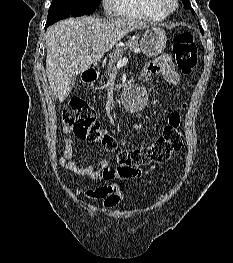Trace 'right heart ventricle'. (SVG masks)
I'll use <instances>...</instances> for the list:
<instances>
[{"mask_svg":"<svg viewBox=\"0 0 233 263\" xmlns=\"http://www.w3.org/2000/svg\"><path fill=\"white\" fill-rule=\"evenodd\" d=\"M113 9L118 15L142 21H160L166 17L154 0H114Z\"/></svg>","mask_w":233,"mask_h":263,"instance_id":"obj_1","label":"right heart ventricle"}]
</instances>
